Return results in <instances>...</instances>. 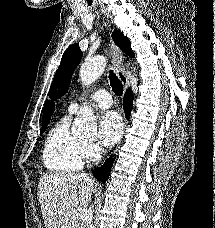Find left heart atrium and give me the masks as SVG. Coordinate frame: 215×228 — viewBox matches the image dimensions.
<instances>
[{
    "label": "left heart atrium",
    "instance_id": "39dd6f15",
    "mask_svg": "<svg viewBox=\"0 0 215 228\" xmlns=\"http://www.w3.org/2000/svg\"><path fill=\"white\" fill-rule=\"evenodd\" d=\"M98 132L102 145L111 147L116 144L123 133V122L120 115L114 111L105 113L99 120Z\"/></svg>",
    "mask_w": 215,
    "mask_h": 228
}]
</instances>
